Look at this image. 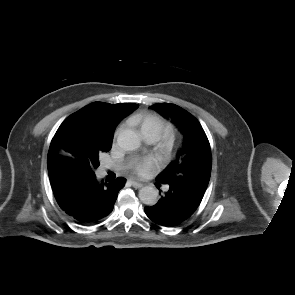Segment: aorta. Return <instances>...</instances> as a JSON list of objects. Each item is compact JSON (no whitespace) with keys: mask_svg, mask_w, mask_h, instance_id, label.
<instances>
[{"mask_svg":"<svg viewBox=\"0 0 295 295\" xmlns=\"http://www.w3.org/2000/svg\"><path fill=\"white\" fill-rule=\"evenodd\" d=\"M117 143L123 150L133 151L140 147L141 139L134 130L126 129L118 135ZM138 195L141 202L148 206H153L158 201V190L152 186L141 188Z\"/></svg>","mask_w":295,"mask_h":295,"instance_id":"762f6f07","label":"aorta"}]
</instances>
